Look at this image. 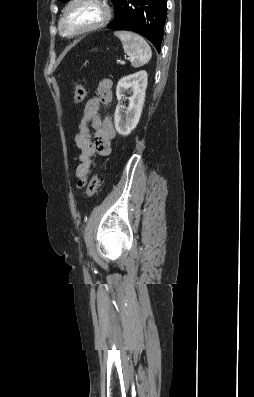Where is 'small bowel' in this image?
Returning a JSON list of instances; mask_svg holds the SVG:
<instances>
[{
    "mask_svg": "<svg viewBox=\"0 0 254 397\" xmlns=\"http://www.w3.org/2000/svg\"><path fill=\"white\" fill-rule=\"evenodd\" d=\"M111 100L112 81L108 78L101 79L96 86V95L85 104L75 134V143L80 150L76 168L78 188L85 185L87 176L95 166L94 155L97 153L107 156L111 152V141L116 135L115 128L110 117L102 119L99 113L100 106L109 104ZM89 127L94 129V139Z\"/></svg>",
    "mask_w": 254,
    "mask_h": 397,
    "instance_id": "1",
    "label": "small bowel"
}]
</instances>
